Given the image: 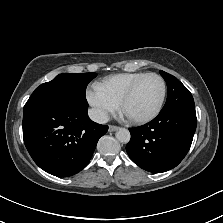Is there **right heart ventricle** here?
Listing matches in <instances>:
<instances>
[{
  "mask_svg": "<svg viewBox=\"0 0 223 223\" xmlns=\"http://www.w3.org/2000/svg\"><path fill=\"white\" fill-rule=\"evenodd\" d=\"M145 72H124L118 73L108 78L97 82L96 84L100 86L106 94L112 98L114 101L119 102L122 96L127 92V90L142 76Z\"/></svg>",
  "mask_w": 223,
  "mask_h": 223,
  "instance_id": "1",
  "label": "right heart ventricle"
}]
</instances>
